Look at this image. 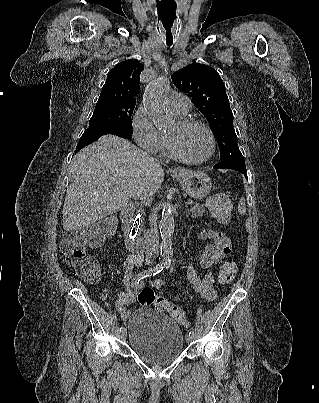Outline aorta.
Segmentation results:
<instances>
[{
	"label": "aorta",
	"mask_w": 319,
	"mask_h": 403,
	"mask_svg": "<svg viewBox=\"0 0 319 403\" xmlns=\"http://www.w3.org/2000/svg\"><path fill=\"white\" fill-rule=\"evenodd\" d=\"M170 81L161 76L150 82L144 94V109L156 127H163L168 120L167 99ZM174 217L169 203L163 204L162 216L159 222L161 236V255L169 259L172 254L171 237L174 233Z\"/></svg>",
	"instance_id": "1"
}]
</instances>
